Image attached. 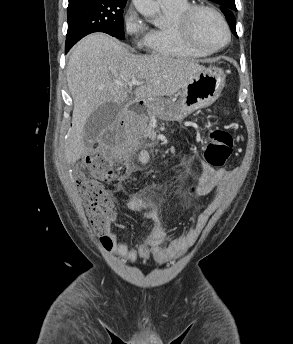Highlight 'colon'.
Masks as SVG:
<instances>
[{"label": "colon", "instance_id": "5ec220e1", "mask_svg": "<svg viewBox=\"0 0 293 344\" xmlns=\"http://www.w3.org/2000/svg\"><path fill=\"white\" fill-rule=\"evenodd\" d=\"M233 149V139L227 131L213 128L208 137L204 152L205 162L218 168L226 164ZM86 165L95 178L81 184L85 208L90 224L96 233L102 234L108 222L115 218L113 199L109 191L98 180H111L116 176V166L103 153H95L88 157ZM153 199H146L151 203Z\"/></svg>", "mask_w": 293, "mask_h": 344}]
</instances>
